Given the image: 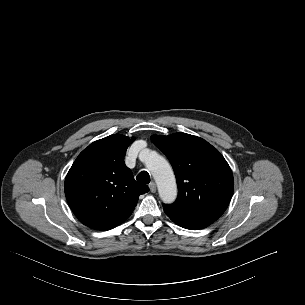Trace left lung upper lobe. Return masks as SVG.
<instances>
[{"label": "left lung upper lobe", "instance_id": "obj_1", "mask_svg": "<svg viewBox=\"0 0 305 305\" xmlns=\"http://www.w3.org/2000/svg\"><path fill=\"white\" fill-rule=\"evenodd\" d=\"M152 142L169 159L178 186L164 210L185 216H221L229 205L234 179L221 153L204 139L186 133L153 135Z\"/></svg>", "mask_w": 305, "mask_h": 305}]
</instances>
